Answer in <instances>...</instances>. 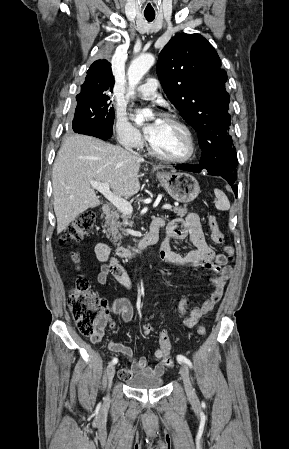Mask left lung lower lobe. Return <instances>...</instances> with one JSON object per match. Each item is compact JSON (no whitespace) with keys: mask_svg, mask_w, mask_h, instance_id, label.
Masks as SVG:
<instances>
[{"mask_svg":"<svg viewBox=\"0 0 289 449\" xmlns=\"http://www.w3.org/2000/svg\"><path fill=\"white\" fill-rule=\"evenodd\" d=\"M175 168L184 170V171L195 172V173H199L202 169H206L209 172V175L221 176L232 186V189L237 197V190H238V186L236 184L237 173L230 172V173L221 175V174H218L215 171H213L212 168L207 163H203V162H200V165H195V166L189 165V164H181V165L175 166Z\"/></svg>","mask_w":289,"mask_h":449,"instance_id":"left-lung-lower-lobe-1","label":"left lung lower lobe"}]
</instances>
